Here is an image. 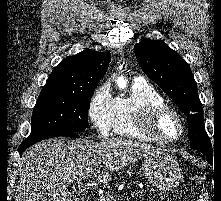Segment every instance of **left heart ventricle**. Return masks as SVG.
Instances as JSON below:
<instances>
[{
    "instance_id": "left-heart-ventricle-1",
    "label": "left heart ventricle",
    "mask_w": 221,
    "mask_h": 201,
    "mask_svg": "<svg viewBox=\"0 0 221 201\" xmlns=\"http://www.w3.org/2000/svg\"><path fill=\"white\" fill-rule=\"evenodd\" d=\"M157 127L159 132L166 137H175L179 133V125L172 116L162 118Z\"/></svg>"
}]
</instances>
